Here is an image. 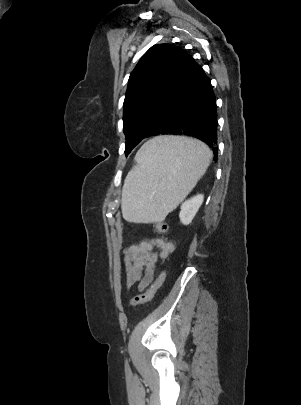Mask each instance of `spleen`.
I'll list each match as a JSON object with an SVG mask.
<instances>
[{"label":"spleen","mask_w":301,"mask_h":405,"mask_svg":"<svg viewBox=\"0 0 301 405\" xmlns=\"http://www.w3.org/2000/svg\"><path fill=\"white\" fill-rule=\"evenodd\" d=\"M212 153L199 140L157 136L137 152V166L122 190V214L129 222L162 221L196 186Z\"/></svg>","instance_id":"spleen-1"}]
</instances>
